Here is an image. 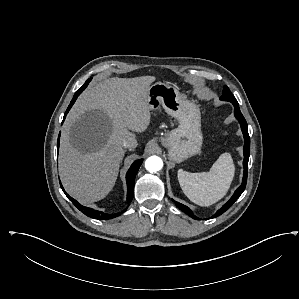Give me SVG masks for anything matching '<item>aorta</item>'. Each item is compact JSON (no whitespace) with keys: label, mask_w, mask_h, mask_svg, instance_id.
<instances>
[{"label":"aorta","mask_w":299,"mask_h":299,"mask_svg":"<svg viewBox=\"0 0 299 299\" xmlns=\"http://www.w3.org/2000/svg\"><path fill=\"white\" fill-rule=\"evenodd\" d=\"M163 167V161L160 157L158 156H150L147 158L145 161V168L147 171L151 173H156L160 171Z\"/></svg>","instance_id":"1"}]
</instances>
